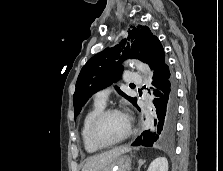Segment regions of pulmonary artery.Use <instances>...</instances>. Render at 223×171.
<instances>
[{"label":"pulmonary artery","instance_id":"obj_1","mask_svg":"<svg viewBox=\"0 0 223 171\" xmlns=\"http://www.w3.org/2000/svg\"><path fill=\"white\" fill-rule=\"evenodd\" d=\"M126 81L128 83L140 84L142 82V78L140 77V75H138L136 73H129L127 75ZM109 94H110L109 88L98 91L95 94V102L105 105L108 100Z\"/></svg>","mask_w":223,"mask_h":171}]
</instances>
